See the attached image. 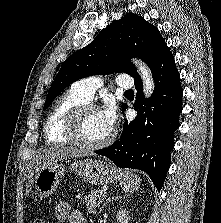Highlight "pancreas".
Returning a JSON list of instances; mask_svg holds the SVG:
<instances>
[{"label":"pancreas","mask_w":221,"mask_h":223,"mask_svg":"<svg viewBox=\"0 0 221 223\" xmlns=\"http://www.w3.org/2000/svg\"><path fill=\"white\" fill-rule=\"evenodd\" d=\"M103 192H100L98 190H92L89 192L88 195H85L83 197V200L86 204V208L89 214H97V207L101 203L102 199L101 197ZM77 198H80V196H77Z\"/></svg>","instance_id":"pancreas-1"}]
</instances>
